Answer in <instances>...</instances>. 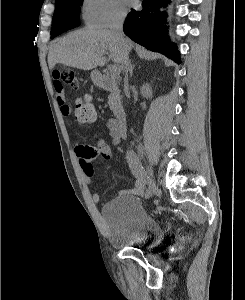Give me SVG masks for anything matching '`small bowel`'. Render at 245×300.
<instances>
[{
    "instance_id": "c3829d8e",
    "label": "small bowel",
    "mask_w": 245,
    "mask_h": 300,
    "mask_svg": "<svg viewBox=\"0 0 245 300\" xmlns=\"http://www.w3.org/2000/svg\"><path fill=\"white\" fill-rule=\"evenodd\" d=\"M53 79V88L56 94L57 104L60 108V113L63 117H69L71 114V109L66 104L62 83L54 75ZM106 127L109 137L116 145L119 144L126 135V131L120 127L116 119H109L106 122ZM75 152L79 157L82 165H85L87 162H90L97 157H103L104 159L110 160L112 156L110 147L104 142L101 137L98 138L95 147L76 144ZM143 190L144 184L140 180L136 179L134 187L130 190L123 191L122 194L141 195L143 193ZM92 199L95 203H98L101 199V196L99 193H94L92 195Z\"/></svg>"
}]
</instances>
